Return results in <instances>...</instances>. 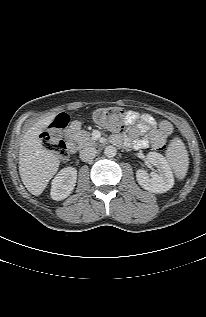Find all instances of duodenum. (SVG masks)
Returning a JSON list of instances; mask_svg holds the SVG:
<instances>
[{"mask_svg": "<svg viewBox=\"0 0 206 317\" xmlns=\"http://www.w3.org/2000/svg\"><path fill=\"white\" fill-rule=\"evenodd\" d=\"M81 128H82V125L78 121L73 122L72 125L67 128V130L64 133V136H65L64 145H65V147L70 148L71 150H74L73 144L76 141L75 135L78 131L81 130Z\"/></svg>", "mask_w": 206, "mask_h": 317, "instance_id": "duodenum-1", "label": "duodenum"}]
</instances>
